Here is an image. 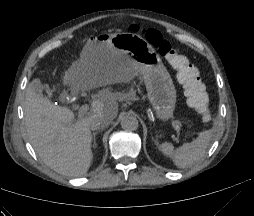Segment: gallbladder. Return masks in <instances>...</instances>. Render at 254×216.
Masks as SVG:
<instances>
[{
    "instance_id": "gallbladder-1",
    "label": "gallbladder",
    "mask_w": 254,
    "mask_h": 216,
    "mask_svg": "<svg viewBox=\"0 0 254 216\" xmlns=\"http://www.w3.org/2000/svg\"><path fill=\"white\" fill-rule=\"evenodd\" d=\"M43 88H44V87H43L42 85H38V86L35 87V90H36L37 92H41Z\"/></svg>"
}]
</instances>
